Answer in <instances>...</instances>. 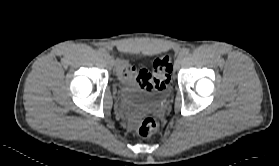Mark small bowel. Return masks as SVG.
Wrapping results in <instances>:
<instances>
[{
    "label": "small bowel",
    "instance_id": "1",
    "mask_svg": "<svg viewBox=\"0 0 279 166\" xmlns=\"http://www.w3.org/2000/svg\"><path fill=\"white\" fill-rule=\"evenodd\" d=\"M135 71V67L125 59H120L116 64V75L120 82L131 83Z\"/></svg>",
    "mask_w": 279,
    "mask_h": 166
}]
</instances>
